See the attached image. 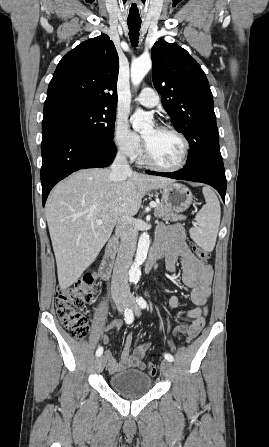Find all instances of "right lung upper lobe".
<instances>
[{"label": "right lung upper lobe", "instance_id": "right-lung-upper-lobe-1", "mask_svg": "<svg viewBox=\"0 0 269 447\" xmlns=\"http://www.w3.org/2000/svg\"><path fill=\"white\" fill-rule=\"evenodd\" d=\"M119 58L106 34L89 39L59 62L49 84L44 115L64 106L115 108Z\"/></svg>", "mask_w": 269, "mask_h": 447}]
</instances>
